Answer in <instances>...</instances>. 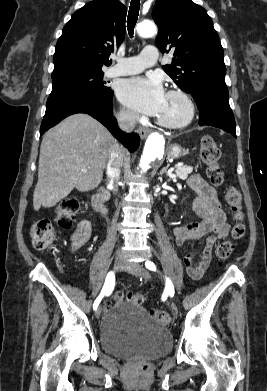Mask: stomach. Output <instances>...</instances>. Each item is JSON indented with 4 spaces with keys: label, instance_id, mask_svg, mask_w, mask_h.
Here are the masks:
<instances>
[{
    "label": "stomach",
    "instance_id": "stomach-1",
    "mask_svg": "<svg viewBox=\"0 0 267 391\" xmlns=\"http://www.w3.org/2000/svg\"><path fill=\"white\" fill-rule=\"evenodd\" d=\"M186 154V151L178 144H173L169 147L168 155L171 158H181Z\"/></svg>",
    "mask_w": 267,
    "mask_h": 391
}]
</instances>
